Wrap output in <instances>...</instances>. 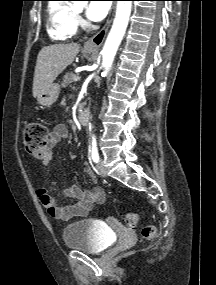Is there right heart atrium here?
<instances>
[{"label": "right heart atrium", "mask_w": 216, "mask_h": 285, "mask_svg": "<svg viewBox=\"0 0 216 285\" xmlns=\"http://www.w3.org/2000/svg\"><path fill=\"white\" fill-rule=\"evenodd\" d=\"M77 22H79V23H81V22H82V20H81V18H80V17H77Z\"/></svg>", "instance_id": "1"}]
</instances>
